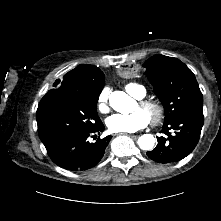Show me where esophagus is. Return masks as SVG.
<instances>
[{
    "instance_id": "34e87169",
    "label": "esophagus",
    "mask_w": 221,
    "mask_h": 221,
    "mask_svg": "<svg viewBox=\"0 0 221 221\" xmlns=\"http://www.w3.org/2000/svg\"><path fill=\"white\" fill-rule=\"evenodd\" d=\"M120 134H123V133H115V134H113V136H118V135H120ZM129 136H131V137H136V136L133 135V134H129Z\"/></svg>"
}]
</instances>
